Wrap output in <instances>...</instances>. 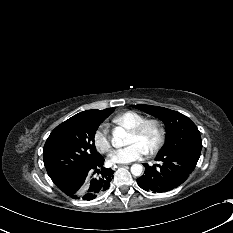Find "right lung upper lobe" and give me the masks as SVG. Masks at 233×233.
Wrapping results in <instances>:
<instances>
[{"instance_id": "1", "label": "right lung upper lobe", "mask_w": 233, "mask_h": 233, "mask_svg": "<svg viewBox=\"0 0 233 233\" xmlns=\"http://www.w3.org/2000/svg\"><path fill=\"white\" fill-rule=\"evenodd\" d=\"M97 111H101V110H87V111H83V112H80L76 115H74L73 117H71L70 119H75V118H82L84 116H87L91 113H94V112H97Z\"/></svg>"}]
</instances>
